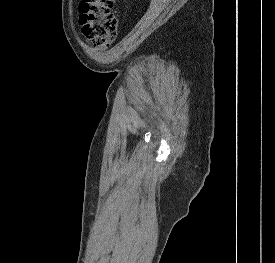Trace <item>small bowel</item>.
<instances>
[{
    "label": "small bowel",
    "mask_w": 275,
    "mask_h": 263,
    "mask_svg": "<svg viewBox=\"0 0 275 263\" xmlns=\"http://www.w3.org/2000/svg\"><path fill=\"white\" fill-rule=\"evenodd\" d=\"M106 47V45H94V48L96 50H103Z\"/></svg>",
    "instance_id": "1"
}]
</instances>
